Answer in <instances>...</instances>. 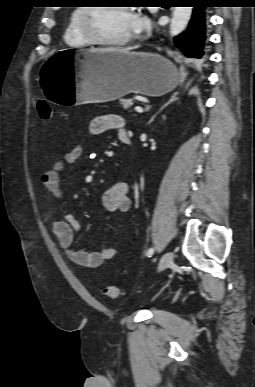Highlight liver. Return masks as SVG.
Listing matches in <instances>:
<instances>
[{
  "label": "liver",
  "mask_w": 255,
  "mask_h": 387,
  "mask_svg": "<svg viewBox=\"0 0 255 387\" xmlns=\"http://www.w3.org/2000/svg\"><path fill=\"white\" fill-rule=\"evenodd\" d=\"M93 51H99V52H129L132 50L131 47L128 48H101V49H92Z\"/></svg>",
  "instance_id": "1"
}]
</instances>
